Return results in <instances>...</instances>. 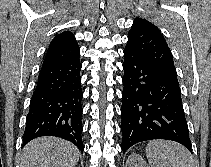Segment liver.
Listing matches in <instances>:
<instances>
[{"label":"liver","mask_w":211,"mask_h":167,"mask_svg":"<svg viewBox=\"0 0 211 167\" xmlns=\"http://www.w3.org/2000/svg\"><path fill=\"white\" fill-rule=\"evenodd\" d=\"M80 151L72 143L55 137L29 142L20 157V167H74Z\"/></svg>","instance_id":"1"}]
</instances>
